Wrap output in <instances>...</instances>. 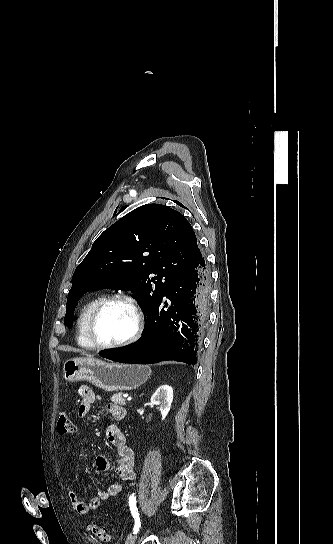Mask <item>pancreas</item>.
<instances>
[{
  "mask_svg": "<svg viewBox=\"0 0 333 544\" xmlns=\"http://www.w3.org/2000/svg\"><path fill=\"white\" fill-rule=\"evenodd\" d=\"M110 400L116 404H119V405H123L125 406L126 405V401L125 399L123 398V395L122 393H116V394H113V396L110 398Z\"/></svg>",
  "mask_w": 333,
  "mask_h": 544,
  "instance_id": "pancreas-1",
  "label": "pancreas"
}]
</instances>
